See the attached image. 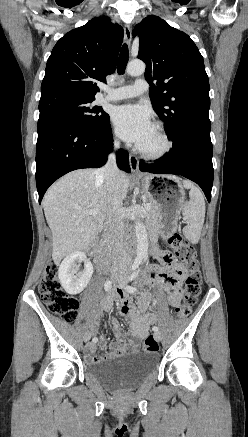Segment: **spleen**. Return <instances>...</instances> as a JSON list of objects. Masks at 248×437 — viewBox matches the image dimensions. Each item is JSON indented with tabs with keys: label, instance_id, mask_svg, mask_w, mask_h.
<instances>
[{
	"label": "spleen",
	"instance_id": "obj_1",
	"mask_svg": "<svg viewBox=\"0 0 248 437\" xmlns=\"http://www.w3.org/2000/svg\"><path fill=\"white\" fill-rule=\"evenodd\" d=\"M183 186L190 189L189 201L184 203L182 214L186 222L183 228L185 237L193 244L198 243L205 218V201L199 188L188 180H183Z\"/></svg>",
	"mask_w": 248,
	"mask_h": 437
}]
</instances>
